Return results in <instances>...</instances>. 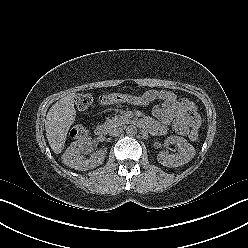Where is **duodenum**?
<instances>
[{
    "label": "duodenum",
    "mask_w": 248,
    "mask_h": 248,
    "mask_svg": "<svg viewBox=\"0 0 248 248\" xmlns=\"http://www.w3.org/2000/svg\"><path fill=\"white\" fill-rule=\"evenodd\" d=\"M107 126L105 124H100L96 127L95 133L98 137L104 138L107 135Z\"/></svg>",
    "instance_id": "duodenum-1"
}]
</instances>
